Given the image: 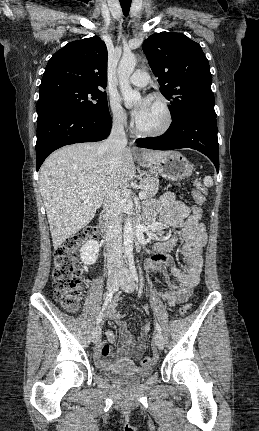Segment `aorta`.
<instances>
[{"instance_id":"obj_1","label":"aorta","mask_w":259,"mask_h":431,"mask_svg":"<svg viewBox=\"0 0 259 431\" xmlns=\"http://www.w3.org/2000/svg\"><path fill=\"white\" fill-rule=\"evenodd\" d=\"M137 59L133 54H124L120 60L117 69L120 91L123 96L126 107H131L141 100V95L138 90L132 89L129 78L133 73ZM133 227L131 219L128 218L124 226V250L126 255H131L133 252Z\"/></svg>"}]
</instances>
